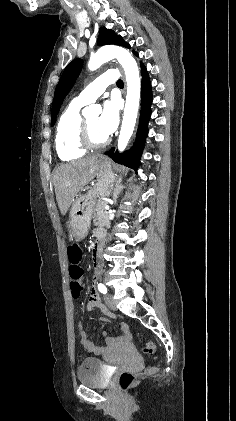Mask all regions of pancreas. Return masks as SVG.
I'll use <instances>...</instances> for the list:
<instances>
[{
	"label": "pancreas",
	"instance_id": "1",
	"mask_svg": "<svg viewBox=\"0 0 236 421\" xmlns=\"http://www.w3.org/2000/svg\"><path fill=\"white\" fill-rule=\"evenodd\" d=\"M106 202L104 200H97L96 208H95V219L93 221L96 227H106V229H110V221L109 215L105 208Z\"/></svg>",
	"mask_w": 236,
	"mask_h": 421
}]
</instances>
